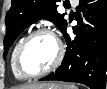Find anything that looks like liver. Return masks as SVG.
I'll return each instance as SVG.
<instances>
[{"mask_svg":"<svg viewBox=\"0 0 107 89\" xmlns=\"http://www.w3.org/2000/svg\"><path fill=\"white\" fill-rule=\"evenodd\" d=\"M45 85H47V84H45V83H42V84H29V85H24V86L20 87V89H32L34 87H44ZM56 85H58V84H56Z\"/></svg>","mask_w":107,"mask_h":89,"instance_id":"1","label":"liver"}]
</instances>
